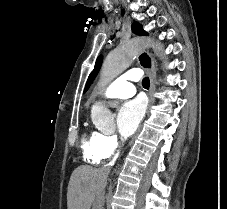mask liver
<instances>
[{
  "instance_id": "obj_1",
  "label": "liver",
  "mask_w": 227,
  "mask_h": 209,
  "mask_svg": "<svg viewBox=\"0 0 227 209\" xmlns=\"http://www.w3.org/2000/svg\"><path fill=\"white\" fill-rule=\"evenodd\" d=\"M100 177L97 169L88 165H80L73 171L68 183L67 207L68 209H90L94 199L96 181ZM89 195V203H85ZM92 195V197H91Z\"/></svg>"
}]
</instances>
